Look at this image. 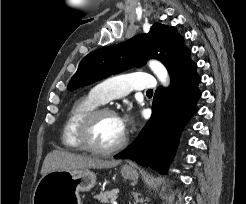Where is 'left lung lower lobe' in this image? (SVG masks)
I'll return each mask as SVG.
<instances>
[{"label": "left lung lower lobe", "instance_id": "obj_1", "mask_svg": "<svg viewBox=\"0 0 246 204\" xmlns=\"http://www.w3.org/2000/svg\"><path fill=\"white\" fill-rule=\"evenodd\" d=\"M170 86L159 87L153 99L152 116L134 143L115 156L130 158L139 165L165 174L175 155L178 136L189 117L196 112L201 93L196 64L187 49L169 71Z\"/></svg>", "mask_w": 246, "mask_h": 204}]
</instances>
